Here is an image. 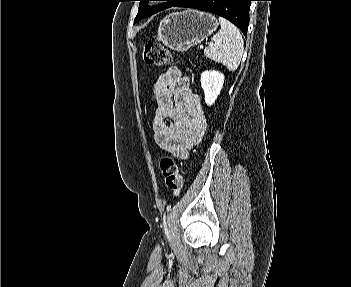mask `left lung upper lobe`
I'll return each instance as SVG.
<instances>
[{"label":"left lung upper lobe","instance_id":"1","mask_svg":"<svg viewBox=\"0 0 351 287\" xmlns=\"http://www.w3.org/2000/svg\"><path fill=\"white\" fill-rule=\"evenodd\" d=\"M140 1L139 4V11L138 14L135 18V22L143 19V18H147L159 11H162L164 9L170 8L172 7L174 4H176L179 0H138ZM148 1H166V3L162 4V5H157V6H146V3Z\"/></svg>","mask_w":351,"mask_h":287}]
</instances>
